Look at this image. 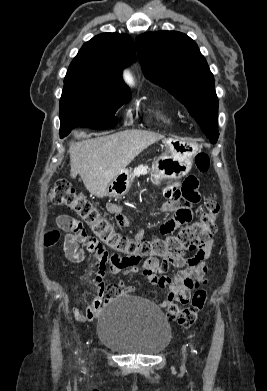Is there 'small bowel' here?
I'll return each mask as SVG.
<instances>
[{
    "instance_id": "c3829d8e",
    "label": "small bowel",
    "mask_w": 267,
    "mask_h": 391,
    "mask_svg": "<svg viewBox=\"0 0 267 391\" xmlns=\"http://www.w3.org/2000/svg\"><path fill=\"white\" fill-rule=\"evenodd\" d=\"M165 195L169 201L164 204L162 210L171 214L160 226L163 236L173 234L176 228L187 225L193 221V207L200 201L198 181L194 177H188L181 184L173 183L166 187ZM107 211L112 214L119 226H127L129 221L122 209L115 203H108ZM58 227L66 232L64 238V252L66 257L79 262L83 259L86 248L87 233L77 219L69 215H60L57 218ZM137 239H142L141 231H137ZM214 242L210 239L197 253L191 257L168 260L149 267L147 265H125L117 255H100L90 263V267L84 277V285L90 289V300L83 308H76L74 315L77 320L86 322L101 311L103 306L121 295H131L134 288L119 282L106 286L103 278L107 272L111 274L137 273L146 277L152 284L167 291L164 299L153 298L152 301L166 306L171 301L188 303L192 290L206 283L207 263ZM172 267L178 268L173 275H167Z\"/></svg>"
}]
</instances>
